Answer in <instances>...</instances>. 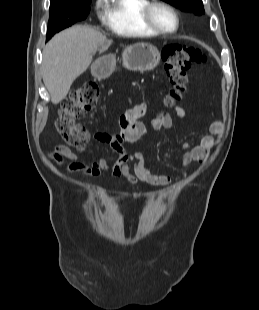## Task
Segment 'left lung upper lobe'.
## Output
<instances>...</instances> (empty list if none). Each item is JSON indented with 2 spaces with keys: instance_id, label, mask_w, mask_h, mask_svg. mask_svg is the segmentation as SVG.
Here are the masks:
<instances>
[{
  "instance_id": "5c2ea615",
  "label": "left lung upper lobe",
  "mask_w": 259,
  "mask_h": 310,
  "mask_svg": "<svg viewBox=\"0 0 259 310\" xmlns=\"http://www.w3.org/2000/svg\"><path fill=\"white\" fill-rule=\"evenodd\" d=\"M182 11L192 12L196 15L204 14L202 0H163Z\"/></svg>"
}]
</instances>
